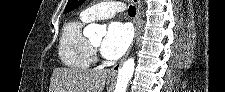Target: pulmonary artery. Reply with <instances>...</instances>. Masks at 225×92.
I'll use <instances>...</instances> for the list:
<instances>
[{"label": "pulmonary artery", "mask_w": 225, "mask_h": 92, "mask_svg": "<svg viewBox=\"0 0 225 92\" xmlns=\"http://www.w3.org/2000/svg\"><path fill=\"white\" fill-rule=\"evenodd\" d=\"M121 9L119 2L107 1L90 6L82 12V17L87 21L105 19L114 16Z\"/></svg>", "instance_id": "1"}]
</instances>
